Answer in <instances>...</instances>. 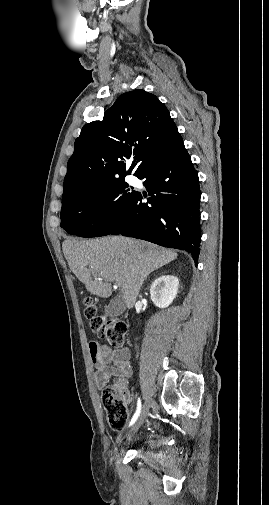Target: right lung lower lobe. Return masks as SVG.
<instances>
[{
    "label": "right lung lower lobe",
    "mask_w": 269,
    "mask_h": 505,
    "mask_svg": "<svg viewBox=\"0 0 269 505\" xmlns=\"http://www.w3.org/2000/svg\"><path fill=\"white\" fill-rule=\"evenodd\" d=\"M150 195L137 192L110 234H121L185 250L198 264L200 253V187L198 173L181 143L148 165L138 176Z\"/></svg>",
    "instance_id": "obj_1"
}]
</instances>
